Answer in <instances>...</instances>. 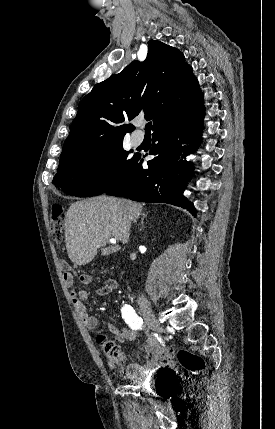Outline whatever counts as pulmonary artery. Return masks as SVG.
Segmentation results:
<instances>
[{
	"mask_svg": "<svg viewBox=\"0 0 275 429\" xmlns=\"http://www.w3.org/2000/svg\"><path fill=\"white\" fill-rule=\"evenodd\" d=\"M144 141V135L141 132H134L132 134V142L134 145L138 146L141 145Z\"/></svg>",
	"mask_w": 275,
	"mask_h": 429,
	"instance_id": "1",
	"label": "pulmonary artery"
}]
</instances>
